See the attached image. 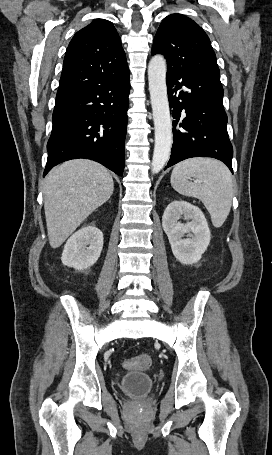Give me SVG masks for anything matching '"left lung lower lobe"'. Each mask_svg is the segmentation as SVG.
Masks as SVG:
<instances>
[{"instance_id":"1","label":"left lung lower lobe","mask_w":272,"mask_h":455,"mask_svg":"<svg viewBox=\"0 0 272 455\" xmlns=\"http://www.w3.org/2000/svg\"><path fill=\"white\" fill-rule=\"evenodd\" d=\"M173 120L168 168L191 157H213L232 169L233 148L227 133L220 76L191 70L167 72Z\"/></svg>"}]
</instances>
